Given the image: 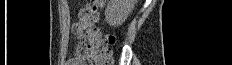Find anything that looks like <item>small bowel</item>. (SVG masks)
<instances>
[{"instance_id":"c3829d8e","label":"small bowel","mask_w":232,"mask_h":65,"mask_svg":"<svg viewBox=\"0 0 232 65\" xmlns=\"http://www.w3.org/2000/svg\"><path fill=\"white\" fill-rule=\"evenodd\" d=\"M72 32L74 38L77 40H80L85 36L84 23L81 18L78 22L73 24ZM67 65H86V57L81 54L77 48L74 56L68 61Z\"/></svg>"}]
</instances>
